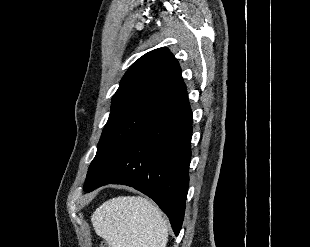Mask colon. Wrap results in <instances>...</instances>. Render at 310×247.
<instances>
[{
    "instance_id": "5ec220e1",
    "label": "colon",
    "mask_w": 310,
    "mask_h": 247,
    "mask_svg": "<svg viewBox=\"0 0 310 247\" xmlns=\"http://www.w3.org/2000/svg\"><path fill=\"white\" fill-rule=\"evenodd\" d=\"M100 247H110L107 243L102 242Z\"/></svg>"
}]
</instances>
